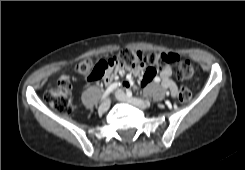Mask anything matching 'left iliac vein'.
Wrapping results in <instances>:
<instances>
[{
	"label": "left iliac vein",
	"mask_w": 245,
	"mask_h": 170,
	"mask_svg": "<svg viewBox=\"0 0 245 170\" xmlns=\"http://www.w3.org/2000/svg\"><path fill=\"white\" fill-rule=\"evenodd\" d=\"M115 96L120 102L128 103V104H131L133 106H136V107H139V108H142V109H146V108H148L150 106L149 102H145V101H143V100H141L139 98L127 97L126 94L122 90H118L115 93Z\"/></svg>",
	"instance_id": "1"
}]
</instances>
